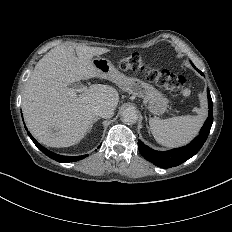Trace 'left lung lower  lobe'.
<instances>
[{
    "label": "left lung lower lobe",
    "instance_id": "0a47b994",
    "mask_svg": "<svg viewBox=\"0 0 232 232\" xmlns=\"http://www.w3.org/2000/svg\"><path fill=\"white\" fill-rule=\"evenodd\" d=\"M198 72L203 75L201 71L197 69ZM207 97H208V104H209V113L208 117L201 128L199 135L188 145L175 148L169 151H155L145 145L141 140H138V149L142 156L153 163L154 165L161 167V168H171L182 164L183 162L187 161L191 157H193L197 152L201 149L203 144L205 143L212 123H213V104L210 95V91L207 89Z\"/></svg>",
    "mask_w": 232,
    "mask_h": 232
}]
</instances>
